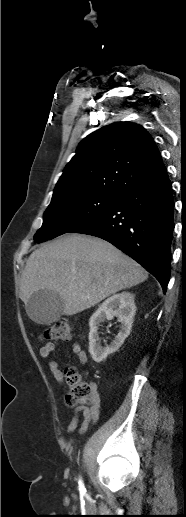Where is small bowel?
Returning <instances> with one entry per match:
<instances>
[{
	"label": "small bowel",
	"instance_id": "small-bowel-1",
	"mask_svg": "<svg viewBox=\"0 0 186 517\" xmlns=\"http://www.w3.org/2000/svg\"><path fill=\"white\" fill-rule=\"evenodd\" d=\"M58 343L57 342H48L45 345H43L40 350L39 354L41 358L48 360L49 368L52 373V375L55 377V379L59 382H63V372L60 368L59 364L51 359L52 352L57 348ZM72 351L77 356L78 361L82 365H86L88 362V356L86 352L82 349L81 345L79 343H74L72 345ZM94 398L95 401L90 407L86 406H80L76 409L74 416L71 418L68 426H67V432L72 433L74 432L80 421V415H82L83 419L80 426V433H85L88 427L95 423L99 418V401H98V395L96 392V385L94 384Z\"/></svg>",
	"mask_w": 186,
	"mask_h": 517
}]
</instances>
